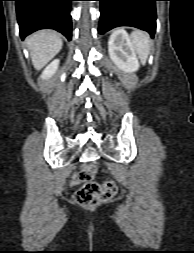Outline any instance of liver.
<instances>
[{
	"label": "liver",
	"mask_w": 194,
	"mask_h": 253,
	"mask_svg": "<svg viewBox=\"0 0 194 253\" xmlns=\"http://www.w3.org/2000/svg\"><path fill=\"white\" fill-rule=\"evenodd\" d=\"M26 45L34 68L40 70L61 50L63 42L57 32L41 30L30 35Z\"/></svg>",
	"instance_id": "1"
}]
</instances>
